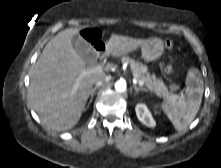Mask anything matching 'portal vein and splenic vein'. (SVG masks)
I'll return each instance as SVG.
<instances>
[{"instance_id":"portal-vein-and-splenic-vein-1","label":"portal vein and splenic vein","mask_w":221,"mask_h":168,"mask_svg":"<svg viewBox=\"0 0 221 168\" xmlns=\"http://www.w3.org/2000/svg\"><path fill=\"white\" fill-rule=\"evenodd\" d=\"M103 71V66L97 65L92 67L91 69H88L84 72V74H90V73H99ZM137 83L139 86H144V82L142 80H137ZM77 88H74V91H76Z\"/></svg>"}]
</instances>
